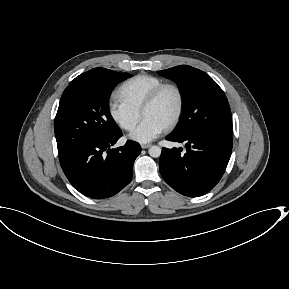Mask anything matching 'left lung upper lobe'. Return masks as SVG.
Instances as JSON below:
<instances>
[{
    "label": "left lung upper lobe",
    "mask_w": 289,
    "mask_h": 289,
    "mask_svg": "<svg viewBox=\"0 0 289 289\" xmlns=\"http://www.w3.org/2000/svg\"><path fill=\"white\" fill-rule=\"evenodd\" d=\"M158 74L174 80L182 95L183 117L175 134L204 132L232 135L228 100L208 74L188 65L158 71Z\"/></svg>",
    "instance_id": "left-lung-upper-lobe-1"
}]
</instances>
